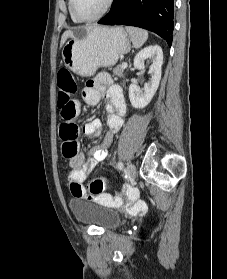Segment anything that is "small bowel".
Wrapping results in <instances>:
<instances>
[{"label":"small bowel","mask_w":227,"mask_h":279,"mask_svg":"<svg viewBox=\"0 0 227 279\" xmlns=\"http://www.w3.org/2000/svg\"><path fill=\"white\" fill-rule=\"evenodd\" d=\"M103 95L108 99L106 104V109L108 111L106 125L108 129L104 136V144L107 145L112 141L114 133H116L123 124V115L126 112V105L121 88L106 75H101L99 78L87 81L86 86L82 90V99L90 106H97ZM78 109L79 104L76 101V111H78ZM68 124L75 125L72 121H69ZM103 131L104 125L99 119L89 121L83 126V132L92 138L101 136ZM106 156L107 151L105 149L93 151L92 155L86 160H84L81 154L76 153V155L70 159L71 170L66 176V181L70 189L72 181H74L81 190H85L82 185L83 181ZM132 191L133 190L130 189V192ZM128 209L131 212H142L146 209V204L142 200L131 201L128 204Z\"/></svg>","instance_id":"small-bowel-1"}]
</instances>
